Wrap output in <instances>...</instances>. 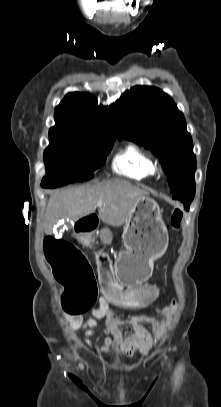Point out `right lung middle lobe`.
<instances>
[{
    "instance_id": "right-lung-middle-lobe-1",
    "label": "right lung middle lobe",
    "mask_w": 221,
    "mask_h": 407,
    "mask_svg": "<svg viewBox=\"0 0 221 407\" xmlns=\"http://www.w3.org/2000/svg\"><path fill=\"white\" fill-rule=\"evenodd\" d=\"M113 143L50 138L44 152L46 175L41 186L56 188L92 178L94 171L104 164Z\"/></svg>"
}]
</instances>
